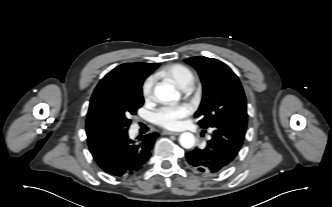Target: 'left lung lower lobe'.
I'll use <instances>...</instances> for the list:
<instances>
[{"label": "left lung lower lobe", "mask_w": 332, "mask_h": 207, "mask_svg": "<svg viewBox=\"0 0 332 207\" xmlns=\"http://www.w3.org/2000/svg\"><path fill=\"white\" fill-rule=\"evenodd\" d=\"M212 138L204 148L186 154L187 162L196 171L213 175L225 170L238 154L246 129L234 126L212 127Z\"/></svg>", "instance_id": "1"}]
</instances>
